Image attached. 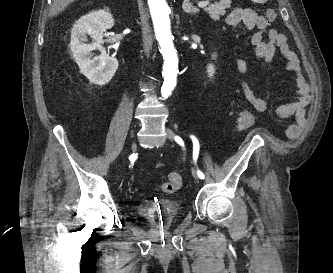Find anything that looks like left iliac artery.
Wrapping results in <instances>:
<instances>
[{
    "mask_svg": "<svg viewBox=\"0 0 333 273\" xmlns=\"http://www.w3.org/2000/svg\"><path fill=\"white\" fill-rule=\"evenodd\" d=\"M192 141H193V160L196 164V161H197V158H198V155H199V149H200V145H199V142L197 140V138L193 135L190 136ZM175 140L179 143V144H182L183 141L182 139L179 137V136H175ZM197 175L200 179H204L205 178V175L203 172H201L200 170H197Z\"/></svg>",
    "mask_w": 333,
    "mask_h": 273,
    "instance_id": "obj_1",
    "label": "left iliac artery"
}]
</instances>
